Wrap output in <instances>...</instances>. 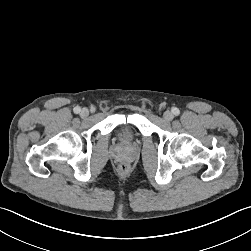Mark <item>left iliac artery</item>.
I'll use <instances>...</instances> for the list:
<instances>
[{
    "instance_id": "obj_1",
    "label": "left iliac artery",
    "mask_w": 251,
    "mask_h": 251,
    "mask_svg": "<svg viewBox=\"0 0 251 251\" xmlns=\"http://www.w3.org/2000/svg\"><path fill=\"white\" fill-rule=\"evenodd\" d=\"M172 112H173L175 115H179V113H180V112H179V109L176 108V107L172 109Z\"/></svg>"
}]
</instances>
